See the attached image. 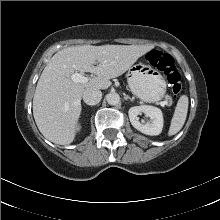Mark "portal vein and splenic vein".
<instances>
[{"mask_svg":"<svg viewBox=\"0 0 220 220\" xmlns=\"http://www.w3.org/2000/svg\"><path fill=\"white\" fill-rule=\"evenodd\" d=\"M70 78L74 82H78V83H87L88 82V78L80 73H74L70 76ZM159 104H160V106L164 107L166 105V102L161 101V102H159Z\"/></svg>","mask_w":220,"mask_h":220,"instance_id":"18ae733b","label":"portal vein and splenic vein"}]
</instances>
